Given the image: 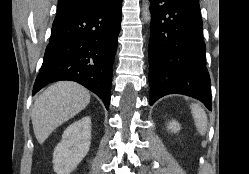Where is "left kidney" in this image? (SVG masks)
Segmentation results:
<instances>
[{"mask_svg": "<svg viewBox=\"0 0 249 174\" xmlns=\"http://www.w3.org/2000/svg\"><path fill=\"white\" fill-rule=\"evenodd\" d=\"M167 127H168V130H171V132H174V133L180 130V124L175 120H172L171 122H169Z\"/></svg>", "mask_w": 249, "mask_h": 174, "instance_id": "left-kidney-1", "label": "left kidney"}]
</instances>
